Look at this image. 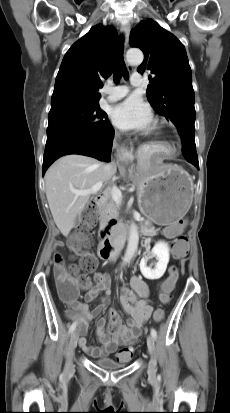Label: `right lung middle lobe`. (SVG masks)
<instances>
[{
  "instance_id": "right-lung-middle-lobe-1",
  "label": "right lung middle lobe",
  "mask_w": 230,
  "mask_h": 413,
  "mask_svg": "<svg viewBox=\"0 0 230 413\" xmlns=\"http://www.w3.org/2000/svg\"><path fill=\"white\" fill-rule=\"evenodd\" d=\"M47 140L61 134H91L106 129L110 122L99 105H69L51 109Z\"/></svg>"
}]
</instances>
